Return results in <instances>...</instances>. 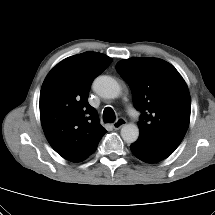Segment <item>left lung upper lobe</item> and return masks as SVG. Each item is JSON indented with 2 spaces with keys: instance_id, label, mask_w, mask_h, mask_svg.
<instances>
[{
  "instance_id": "obj_1",
  "label": "left lung upper lobe",
  "mask_w": 215,
  "mask_h": 215,
  "mask_svg": "<svg viewBox=\"0 0 215 215\" xmlns=\"http://www.w3.org/2000/svg\"><path fill=\"white\" fill-rule=\"evenodd\" d=\"M116 70L129 85L133 105L141 112L138 139L172 153L190 121L191 99L182 76L158 58L122 60Z\"/></svg>"
}]
</instances>
